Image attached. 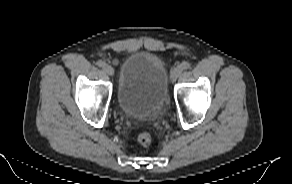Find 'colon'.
I'll return each mask as SVG.
<instances>
[{
  "label": "colon",
  "instance_id": "1",
  "mask_svg": "<svg viewBox=\"0 0 292 184\" xmlns=\"http://www.w3.org/2000/svg\"><path fill=\"white\" fill-rule=\"evenodd\" d=\"M151 140V135L148 132H141L137 136V141L143 146L149 145L151 143Z\"/></svg>",
  "mask_w": 292,
  "mask_h": 184
}]
</instances>
